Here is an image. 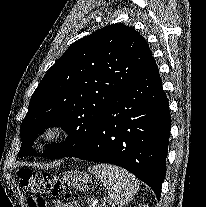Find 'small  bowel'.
<instances>
[{
    "instance_id": "small-bowel-1",
    "label": "small bowel",
    "mask_w": 206,
    "mask_h": 207,
    "mask_svg": "<svg viewBox=\"0 0 206 207\" xmlns=\"http://www.w3.org/2000/svg\"><path fill=\"white\" fill-rule=\"evenodd\" d=\"M55 207H78L77 204L72 202H64L62 200H56L54 202Z\"/></svg>"
}]
</instances>
